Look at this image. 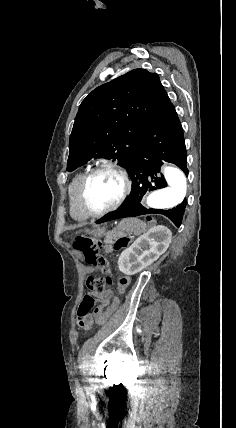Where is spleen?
I'll use <instances>...</instances> for the list:
<instances>
[{
  "instance_id": "spleen-1",
  "label": "spleen",
  "mask_w": 236,
  "mask_h": 428,
  "mask_svg": "<svg viewBox=\"0 0 236 428\" xmlns=\"http://www.w3.org/2000/svg\"><path fill=\"white\" fill-rule=\"evenodd\" d=\"M118 230L128 232V234H134V236H140L143 232H146V224L138 218H124L118 226Z\"/></svg>"
}]
</instances>
